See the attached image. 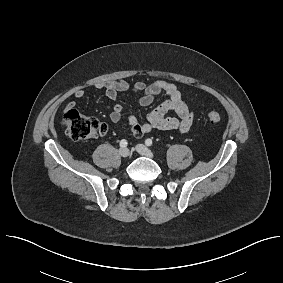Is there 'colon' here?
Wrapping results in <instances>:
<instances>
[{"mask_svg":"<svg viewBox=\"0 0 283 283\" xmlns=\"http://www.w3.org/2000/svg\"><path fill=\"white\" fill-rule=\"evenodd\" d=\"M207 118L212 124H217L222 119L220 113L215 111L209 112ZM63 125L70 138L74 141L86 140L103 135L107 129L105 124L74 109L69 110L65 114Z\"/></svg>","mask_w":283,"mask_h":283,"instance_id":"1","label":"colon"}]
</instances>
